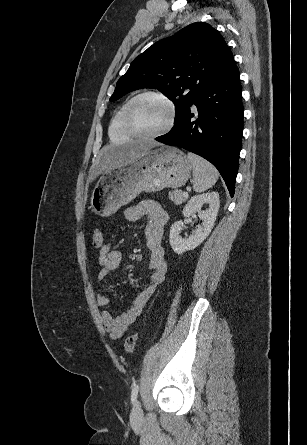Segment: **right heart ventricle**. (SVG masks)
Listing matches in <instances>:
<instances>
[{"instance_id":"obj_1","label":"right heart ventricle","mask_w":307,"mask_h":445,"mask_svg":"<svg viewBox=\"0 0 307 445\" xmlns=\"http://www.w3.org/2000/svg\"><path fill=\"white\" fill-rule=\"evenodd\" d=\"M126 105H124L112 118L109 126L111 140H131V134L126 126Z\"/></svg>"}]
</instances>
